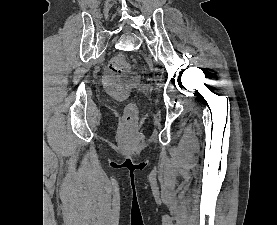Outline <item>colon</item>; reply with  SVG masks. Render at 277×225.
<instances>
[{
	"label": "colon",
	"mask_w": 277,
	"mask_h": 225,
	"mask_svg": "<svg viewBox=\"0 0 277 225\" xmlns=\"http://www.w3.org/2000/svg\"><path fill=\"white\" fill-rule=\"evenodd\" d=\"M108 68L114 74H130L131 78H134V75L130 70L128 58L125 54H117L113 56L108 63ZM137 115L138 109L135 104L129 103L125 106L123 118L128 128H132L134 126Z\"/></svg>",
	"instance_id": "5ec220e1"
}]
</instances>
